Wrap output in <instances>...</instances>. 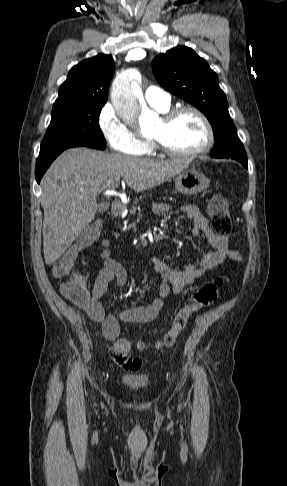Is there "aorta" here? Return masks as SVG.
Instances as JSON below:
<instances>
[{"instance_id":"aorta-1","label":"aorta","mask_w":287,"mask_h":486,"mask_svg":"<svg viewBox=\"0 0 287 486\" xmlns=\"http://www.w3.org/2000/svg\"><path fill=\"white\" fill-rule=\"evenodd\" d=\"M111 101L117 114L127 123L138 122L141 129L151 128L155 114L141 98L139 83L128 74L117 77L111 89Z\"/></svg>"}]
</instances>
